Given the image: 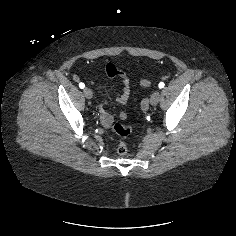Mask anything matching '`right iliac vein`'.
<instances>
[{
	"label": "right iliac vein",
	"mask_w": 236,
	"mask_h": 236,
	"mask_svg": "<svg viewBox=\"0 0 236 236\" xmlns=\"http://www.w3.org/2000/svg\"><path fill=\"white\" fill-rule=\"evenodd\" d=\"M83 93L87 99H91L93 97V93H92L91 89H89V88H84Z\"/></svg>",
	"instance_id": "1"
}]
</instances>
